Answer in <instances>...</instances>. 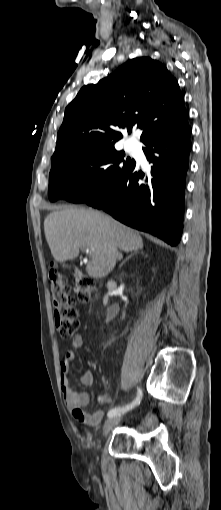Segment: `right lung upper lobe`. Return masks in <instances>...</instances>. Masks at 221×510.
Returning <instances> with one entry per match:
<instances>
[{
	"label": "right lung upper lobe",
	"mask_w": 221,
	"mask_h": 510,
	"mask_svg": "<svg viewBox=\"0 0 221 510\" xmlns=\"http://www.w3.org/2000/svg\"><path fill=\"white\" fill-rule=\"evenodd\" d=\"M178 82L148 57L127 61L113 74L81 88L66 107L52 166L67 154L122 138L117 129H143L141 141L182 128L188 122Z\"/></svg>",
	"instance_id": "1"
}]
</instances>
